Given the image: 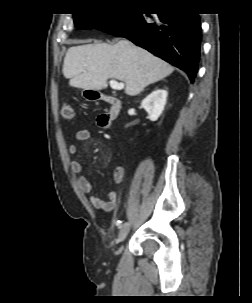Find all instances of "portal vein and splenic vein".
I'll list each match as a JSON object with an SVG mask.
<instances>
[{
    "label": "portal vein and splenic vein",
    "mask_w": 252,
    "mask_h": 303,
    "mask_svg": "<svg viewBox=\"0 0 252 303\" xmlns=\"http://www.w3.org/2000/svg\"><path fill=\"white\" fill-rule=\"evenodd\" d=\"M110 87L114 90H122L124 88V83L118 82L116 80L109 81Z\"/></svg>",
    "instance_id": "1"
}]
</instances>
